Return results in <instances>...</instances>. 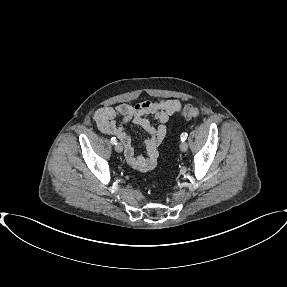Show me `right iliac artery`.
I'll use <instances>...</instances> for the list:
<instances>
[{"label":"right iliac artery","instance_id":"right-iliac-artery-1","mask_svg":"<svg viewBox=\"0 0 287 287\" xmlns=\"http://www.w3.org/2000/svg\"><path fill=\"white\" fill-rule=\"evenodd\" d=\"M111 143H112V144H115V145L117 144V140H116L115 137H112V138H111Z\"/></svg>","mask_w":287,"mask_h":287}]
</instances>
